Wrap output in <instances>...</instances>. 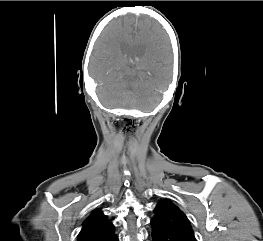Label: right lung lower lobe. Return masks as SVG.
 <instances>
[{
    "label": "right lung lower lobe",
    "instance_id": "98d812e1",
    "mask_svg": "<svg viewBox=\"0 0 263 241\" xmlns=\"http://www.w3.org/2000/svg\"><path fill=\"white\" fill-rule=\"evenodd\" d=\"M113 241H118V238L115 236V238L113 239Z\"/></svg>",
    "mask_w": 263,
    "mask_h": 241
}]
</instances>
